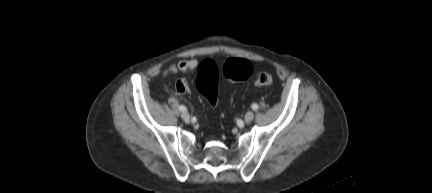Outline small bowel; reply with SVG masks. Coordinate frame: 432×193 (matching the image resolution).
Segmentation results:
<instances>
[{
  "instance_id": "c3829d8e",
  "label": "small bowel",
  "mask_w": 432,
  "mask_h": 193,
  "mask_svg": "<svg viewBox=\"0 0 432 193\" xmlns=\"http://www.w3.org/2000/svg\"><path fill=\"white\" fill-rule=\"evenodd\" d=\"M197 66V59H184L178 62L177 69L181 72H189L195 70ZM176 89L178 92H184L187 89V83L184 80H179L176 84Z\"/></svg>"
}]
</instances>
